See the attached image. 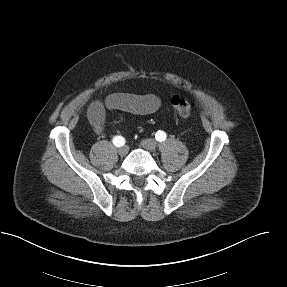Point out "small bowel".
I'll return each mask as SVG.
<instances>
[{
    "mask_svg": "<svg viewBox=\"0 0 287 287\" xmlns=\"http://www.w3.org/2000/svg\"><path fill=\"white\" fill-rule=\"evenodd\" d=\"M161 107V100L154 94L137 95L130 93H114L105 101H93L87 110L88 121L98 135L105 132L106 111H123L135 115H147Z\"/></svg>",
    "mask_w": 287,
    "mask_h": 287,
    "instance_id": "c3829d8e",
    "label": "small bowel"
}]
</instances>
